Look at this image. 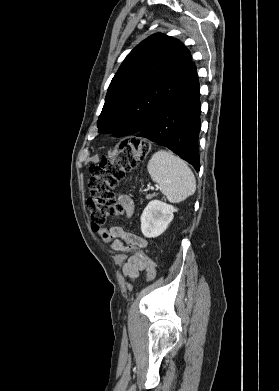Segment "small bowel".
Listing matches in <instances>:
<instances>
[{"instance_id":"c3829d8e","label":"small bowel","mask_w":279,"mask_h":391,"mask_svg":"<svg viewBox=\"0 0 279 391\" xmlns=\"http://www.w3.org/2000/svg\"><path fill=\"white\" fill-rule=\"evenodd\" d=\"M119 204L128 217L133 214L134 203L130 197L126 195H121L119 197ZM107 231L112 235L113 242L111 243V248L114 251L123 253L129 252V244L140 249H147V241L144 238L136 234L127 232L119 226H113ZM120 239H122L126 243V245ZM146 268V263L134 254L130 256L125 263L123 267V273L125 276L134 280L139 276V273Z\"/></svg>"}]
</instances>
